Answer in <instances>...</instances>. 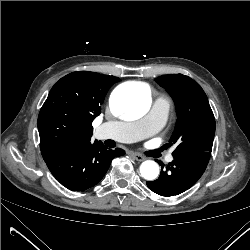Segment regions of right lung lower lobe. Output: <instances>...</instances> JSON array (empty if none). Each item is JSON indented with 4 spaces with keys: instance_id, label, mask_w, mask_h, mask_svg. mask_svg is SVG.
I'll return each instance as SVG.
<instances>
[{
    "instance_id": "98d812e1",
    "label": "right lung lower lobe",
    "mask_w": 250,
    "mask_h": 250,
    "mask_svg": "<svg viewBox=\"0 0 250 250\" xmlns=\"http://www.w3.org/2000/svg\"><path fill=\"white\" fill-rule=\"evenodd\" d=\"M122 155V149L108 150L101 142L95 141L94 144H78L43 158L62 185L72 191H83L96 185L107 172L112 159Z\"/></svg>"
}]
</instances>
